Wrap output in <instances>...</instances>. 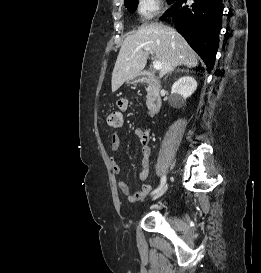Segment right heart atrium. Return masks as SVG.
<instances>
[{"mask_svg": "<svg viewBox=\"0 0 261 273\" xmlns=\"http://www.w3.org/2000/svg\"><path fill=\"white\" fill-rule=\"evenodd\" d=\"M162 8V0H138L137 10L144 19H150Z\"/></svg>", "mask_w": 261, "mask_h": 273, "instance_id": "obj_1", "label": "right heart atrium"}]
</instances>
